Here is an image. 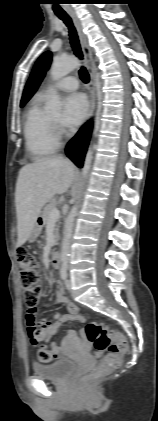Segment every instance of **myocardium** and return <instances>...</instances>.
<instances>
[{
    "mask_svg": "<svg viewBox=\"0 0 158 421\" xmlns=\"http://www.w3.org/2000/svg\"><path fill=\"white\" fill-rule=\"evenodd\" d=\"M50 121H51V125H52L53 135L56 138V140L58 141L59 138H60V133H61L58 121L54 120L52 117H50Z\"/></svg>",
    "mask_w": 158,
    "mask_h": 421,
    "instance_id": "obj_1",
    "label": "myocardium"
}]
</instances>
